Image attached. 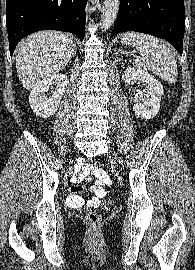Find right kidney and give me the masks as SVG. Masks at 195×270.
<instances>
[{
	"instance_id": "ca27d5eb",
	"label": "right kidney",
	"mask_w": 195,
	"mask_h": 270,
	"mask_svg": "<svg viewBox=\"0 0 195 270\" xmlns=\"http://www.w3.org/2000/svg\"><path fill=\"white\" fill-rule=\"evenodd\" d=\"M68 82L69 80L66 75L55 74L40 82L39 85L31 91L29 104L36 116L48 118L55 114ZM52 85H56V90L51 91L52 96L48 98L46 93Z\"/></svg>"
}]
</instances>
